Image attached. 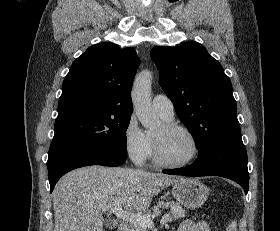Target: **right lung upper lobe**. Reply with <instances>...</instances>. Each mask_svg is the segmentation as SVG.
Masks as SVG:
<instances>
[{"label":"right lung upper lobe","instance_id":"obj_1","mask_svg":"<svg viewBox=\"0 0 280 231\" xmlns=\"http://www.w3.org/2000/svg\"><path fill=\"white\" fill-rule=\"evenodd\" d=\"M140 60L134 48L99 43L78 57L66 75L56 120L131 115V88Z\"/></svg>","mask_w":280,"mask_h":231}]
</instances>
